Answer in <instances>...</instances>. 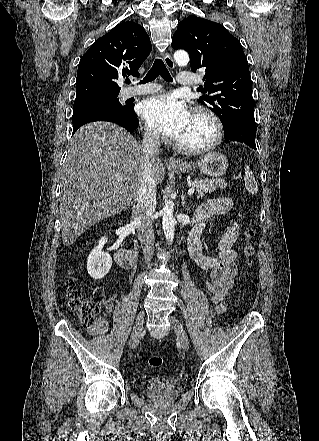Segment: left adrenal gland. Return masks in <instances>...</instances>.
Listing matches in <instances>:
<instances>
[{"instance_id":"left-adrenal-gland-1","label":"left adrenal gland","mask_w":319,"mask_h":441,"mask_svg":"<svg viewBox=\"0 0 319 441\" xmlns=\"http://www.w3.org/2000/svg\"><path fill=\"white\" fill-rule=\"evenodd\" d=\"M181 203H182V207H183V208H185V209L188 210V211L190 210L189 207H186V206H185V194H182V202H181Z\"/></svg>"}]
</instances>
